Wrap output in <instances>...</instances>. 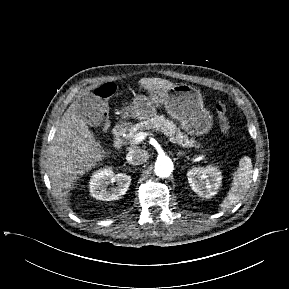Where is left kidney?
I'll list each match as a JSON object with an SVG mask.
<instances>
[{
  "mask_svg": "<svg viewBox=\"0 0 289 289\" xmlns=\"http://www.w3.org/2000/svg\"><path fill=\"white\" fill-rule=\"evenodd\" d=\"M192 190L203 198H212L221 186V172L215 166L194 167L187 173Z\"/></svg>",
  "mask_w": 289,
  "mask_h": 289,
  "instance_id": "obj_1",
  "label": "left kidney"
}]
</instances>
